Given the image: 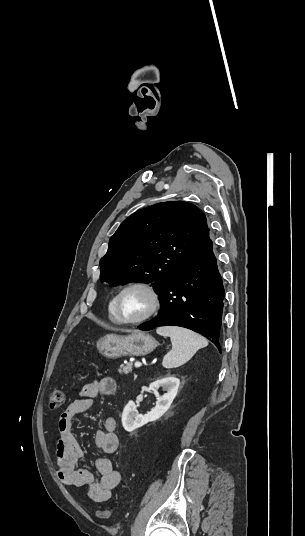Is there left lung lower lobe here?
<instances>
[{"label": "left lung lower lobe", "instance_id": "obj_1", "mask_svg": "<svg viewBox=\"0 0 305 536\" xmlns=\"http://www.w3.org/2000/svg\"><path fill=\"white\" fill-rule=\"evenodd\" d=\"M210 240L159 293L161 309L152 321L139 326H180L208 338L221 352L224 287Z\"/></svg>", "mask_w": 305, "mask_h": 536}]
</instances>
